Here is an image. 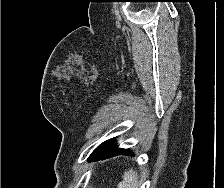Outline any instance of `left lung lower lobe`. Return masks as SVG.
Returning a JSON list of instances; mask_svg holds the SVG:
<instances>
[{"mask_svg":"<svg viewBox=\"0 0 224 188\" xmlns=\"http://www.w3.org/2000/svg\"><path fill=\"white\" fill-rule=\"evenodd\" d=\"M118 154H132L128 149H119L116 146L115 138L100 144L90 155L89 161L103 160Z\"/></svg>","mask_w":224,"mask_h":188,"instance_id":"obj_1","label":"left lung lower lobe"}]
</instances>
